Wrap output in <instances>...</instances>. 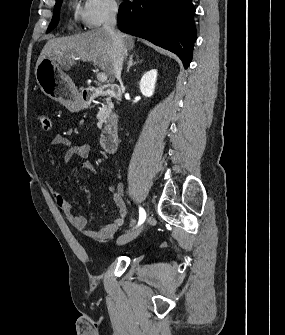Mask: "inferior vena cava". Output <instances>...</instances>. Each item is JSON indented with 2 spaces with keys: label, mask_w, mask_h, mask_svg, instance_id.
<instances>
[{
  "label": "inferior vena cava",
  "mask_w": 285,
  "mask_h": 335,
  "mask_svg": "<svg viewBox=\"0 0 285 335\" xmlns=\"http://www.w3.org/2000/svg\"><path fill=\"white\" fill-rule=\"evenodd\" d=\"M118 12L117 2L115 0H107L106 14L103 20V30L108 32L112 40V58L115 74H121L123 62L127 56V50L124 46V36L119 30H116V14Z\"/></svg>",
  "instance_id": "1"
}]
</instances>
